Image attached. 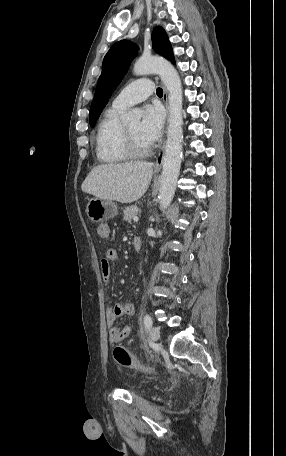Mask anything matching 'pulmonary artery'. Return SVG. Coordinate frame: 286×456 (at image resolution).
I'll return each mask as SVG.
<instances>
[{
  "instance_id": "1",
  "label": "pulmonary artery",
  "mask_w": 286,
  "mask_h": 456,
  "mask_svg": "<svg viewBox=\"0 0 286 456\" xmlns=\"http://www.w3.org/2000/svg\"><path fill=\"white\" fill-rule=\"evenodd\" d=\"M154 92V87L149 78H140L126 87L114 98L112 105L117 108L127 109L146 100Z\"/></svg>"
}]
</instances>
